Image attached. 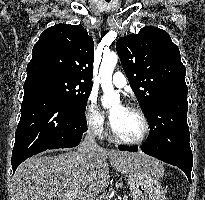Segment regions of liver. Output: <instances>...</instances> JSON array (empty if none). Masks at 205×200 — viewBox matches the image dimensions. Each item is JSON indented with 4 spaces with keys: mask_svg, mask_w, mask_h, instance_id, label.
<instances>
[{
    "mask_svg": "<svg viewBox=\"0 0 205 200\" xmlns=\"http://www.w3.org/2000/svg\"><path fill=\"white\" fill-rule=\"evenodd\" d=\"M121 173L137 170L162 175L159 163L141 153L102 147L79 153L69 151L55 156L37 155L21 163L14 174V200H94L109 186L107 163ZM73 194L67 197L66 194Z\"/></svg>",
    "mask_w": 205,
    "mask_h": 200,
    "instance_id": "6515ba94",
    "label": "liver"
}]
</instances>
